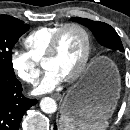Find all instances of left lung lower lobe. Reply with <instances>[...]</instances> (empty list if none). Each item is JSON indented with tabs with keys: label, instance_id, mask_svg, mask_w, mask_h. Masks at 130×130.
Listing matches in <instances>:
<instances>
[{
	"label": "left lung lower lobe",
	"instance_id": "left-lung-lower-lobe-1",
	"mask_svg": "<svg viewBox=\"0 0 130 130\" xmlns=\"http://www.w3.org/2000/svg\"><path fill=\"white\" fill-rule=\"evenodd\" d=\"M91 83V79L90 78H87L86 80H85V85H89ZM54 130H57V126L55 125L54 126Z\"/></svg>",
	"mask_w": 130,
	"mask_h": 130
}]
</instances>
